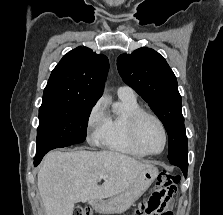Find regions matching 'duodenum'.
Instances as JSON below:
<instances>
[{"mask_svg":"<svg viewBox=\"0 0 223 215\" xmlns=\"http://www.w3.org/2000/svg\"><path fill=\"white\" fill-rule=\"evenodd\" d=\"M93 209L96 212H102L104 207V200L101 198H94L91 202Z\"/></svg>","mask_w":223,"mask_h":215,"instance_id":"duodenum-1","label":"duodenum"}]
</instances>
